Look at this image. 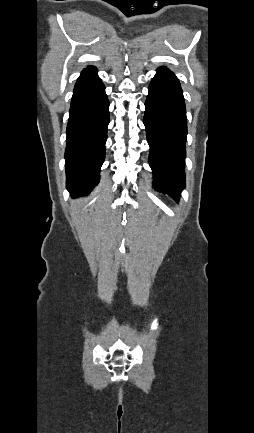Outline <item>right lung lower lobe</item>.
<instances>
[{
	"mask_svg": "<svg viewBox=\"0 0 254 433\" xmlns=\"http://www.w3.org/2000/svg\"><path fill=\"white\" fill-rule=\"evenodd\" d=\"M109 101L94 67L78 78L71 101L65 150L66 186L72 197L83 196L99 181L105 157Z\"/></svg>",
	"mask_w": 254,
	"mask_h": 433,
	"instance_id": "obj_1",
	"label": "right lung lower lobe"
}]
</instances>
